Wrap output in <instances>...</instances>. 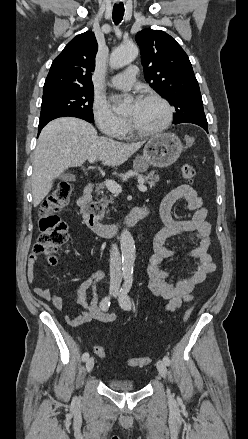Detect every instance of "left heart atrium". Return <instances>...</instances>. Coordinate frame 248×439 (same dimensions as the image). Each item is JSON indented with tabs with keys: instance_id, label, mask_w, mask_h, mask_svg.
Here are the masks:
<instances>
[{
	"instance_id": "1",
	"label": "left heart atrium",
	"mask_w": 248,
	"mask_h": 439,
	"mask_svg": "<svg viewBox=\"0 0 248 439\" xmlns=\"http://www.w3.org/2000/svg\"><path fill=\"white\" fill-rule=\"evenodd\" d=\"M140 101H141V99H137L135 103L138 104Z\"/></svg>"
}]
</instances>
